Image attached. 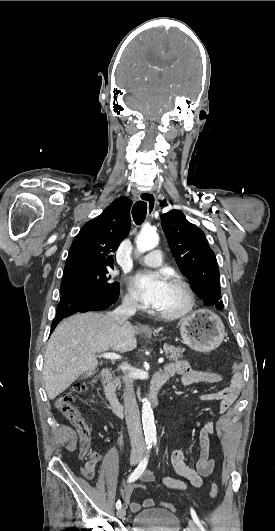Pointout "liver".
<instances>
[{"instance_id": "6515ba94", "label": "liver", "mask_w": 275, "mask_h": 531, "mask_svg": "<svg viewBox=\"0 0 275 531\" xmlns=\"http://www.w3.org/2000/svg\"><path fill=\"white\" fill-rule=\"evenodd\" d=\"M138 327L117 323L103 313H77L56 327L44 361L43 379L48 399H56L79 375L94 371L97 353H127L137 347Z\"/></svg>"}]
</instances>
